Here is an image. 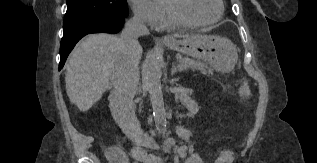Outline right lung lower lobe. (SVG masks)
I'll return each mask as SVG.
<instances>
[{
  "mask_svg": "<svg viewBox=\"0 0 317 163\" xmlns=\"http://www.w3.org/2000/svg\"><path fill=\"white\" fill-rule=\"evenodd\" d=\"M124 19L125 17L104 16L65 30L61 40L59 70L62 69L69 53L83 36L98 32L118 33L124 24Z\"/></svg>",
  "mask_w": 317,
  "mask_h": 163,
  "instance_id": "1",
  "label": "right lung lower lobe"
}]
</instances>
